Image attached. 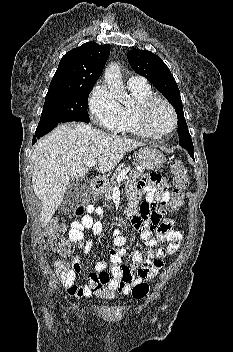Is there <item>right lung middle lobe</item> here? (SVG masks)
Here are the masks:
<instances>
[{
	"instance_id": "right-lung-middle-lobe-1",
	"label": "right lung middle lobe",
	"mask_w": 233,
	"mask_h": 352,
	"mask_svg": "<svg viewBox=\"0 0 233 352\" xmlns=\"http://www.w3.org/2000/svg\"><path fill=\"white\" fill-rule=\"evenodd\" d=\"M94 85L74 89H49L36 131L68 121L90 122L88 96Z\"/></svg>"
}]
</instances>
